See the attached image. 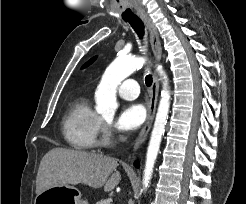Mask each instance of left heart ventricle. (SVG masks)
Wrapping results in <instances>:
<instances>
[{
	"label": "left heart ventricle",
	"mask_w": 246,
	"mask_h": 204,
	"mask_svg": "<svg viewBox=\"0 0 246 204\" xmlns=\"http://www.w3.org/2000/svg\"><path fill=\"white\" fill-rule=\"evenodd\" d=\"M107 121H109L110 119L109 118H106Z\"/></svg>",
	"instance_id": "b2bd125f"
}]
</instances>
